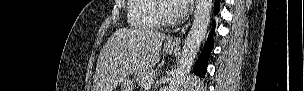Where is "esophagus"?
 Here are the masks:
<instances>
[{"label": "esophagus", "mask_w": 304, "mask_h": 91, "mask_svg": "<svg viewBox=\"0 0 304 91\" xmlns=\"http://www.w3.org/2000/svg\"><path fill=\"white\" fill-rule=\"evenodd\" d=\"M180 38H178V37H175L174 39H172L171 41H170V43L172 44V45H175V46H178L179 44H180Z\"/></svg>", "instance_id": "esophagus-1"}]
</instances>
